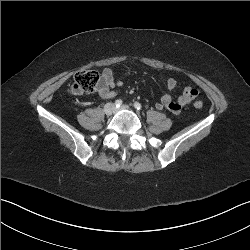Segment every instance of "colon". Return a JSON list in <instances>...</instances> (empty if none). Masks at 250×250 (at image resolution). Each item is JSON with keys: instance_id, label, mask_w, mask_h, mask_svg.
I'll return each mask as SVG.
<instances>
[{"instance_id": "colon-1", "label": "colon", "mask_w": 250, "mask_h": 250, "mask_svg": "<svg viewBox=\"0 0 250 250\" xmlns=\"http://www.w3.org/2000/svg\"><path fill=\"white\" fill-rule=\"evenodd\" d=\"M100 77L99 74L94 70H83L76 73L74 81L71 87V91L74 94H91L96 91L99 85ZM194 107L201 109L203 102L196 100Z\"/></svg>"}]
</instances>
